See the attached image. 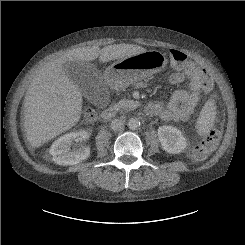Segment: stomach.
<instances>
[{
  "instance_id": "stomach-1",
  "label": "stomach",
  "mask_w": 245,
  "mask_h": 245,
  "mask_svg": "<svg viewBox=\"0 0 245 245\" xmlns=\"http://www.w3.org/2000/svg\"><path fill=\"white\" fill-rule=\"evenodd\" d=\"M168 60L160 51L149 50L125 57L110 65L104 73L105 82L115 90L162 71Z\"/></svg>"
}]
</instances>
